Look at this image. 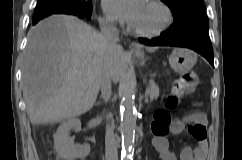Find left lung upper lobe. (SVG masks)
<instances>
[{"label": "left lung upper lobe", "mask_w": 242, "mask_h": 160, "mask_svg": "<svg viewBox=\"0 0 242 160\" xmlns=\"http://www.w3.org/2000/svg\"><path fill=\"white\" fill-rule=\"evenodd\" d=\"M169 6L174 23L166 31L170 35H180L194 28H208L205 7L202 0H162Z\"/></svg>", "instance_id": "1"}]
</instances>
